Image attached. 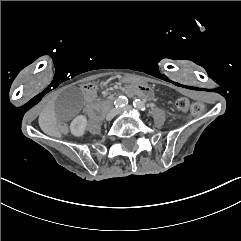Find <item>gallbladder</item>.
Here are the masks:
<instances>
[{
	"mask_svg": "<svg viewBox=\"0 0 241 241\" xmlns=\"http://www.w3.org/2000/svg\"><path fill=\"white\" fill-rule=\"evenodd\" d=\"M82 95L75 86L68 87L56 100V116L61 121L73 117L81 109Z\"/></svg>",
	"mask_w": 241,
	"mask_h": 241,
	"instance_id": "bac80fb5",
	"label": "gallbladder"
}]
</instances>
